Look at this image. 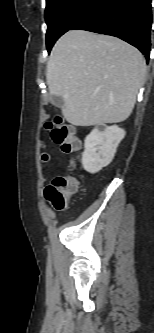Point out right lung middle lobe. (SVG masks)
Returning <instances> with one entry per match:
<instances>
[{"label": "right lung middle lobe", "mask_w": 154, "mask_h": 333, "mask_svg": "<svg viewBox=\"0 0 154 333\" xmlns=\"http://www.w3.org/2000/svg\"><path fill=\"white\" fill-rule=\"evenodd\" d=\"M99 0H46L47 50L95 6Z\"/></svg>", "instance_id": "obj_1"}]
</instances>
